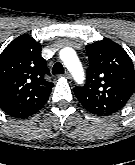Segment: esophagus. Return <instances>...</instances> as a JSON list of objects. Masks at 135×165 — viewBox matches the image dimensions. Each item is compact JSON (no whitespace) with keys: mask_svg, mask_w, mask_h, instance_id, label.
<instances>
[{"mask_svg":"<svg viewBox=\"0 0 135 165\" xmlns=\"http://www.w3.org/2000/svg\"><path fill=\"white\" fill-rule=\"evenodd\" d=\"M65 78L70 79L71 78V74L67 71L65 72V74L63 75Z\"/></svg>","mask_w":135,"mask_h":165,"instance_id":"esophagus-1","label":"esophagus"}]
</instances>
